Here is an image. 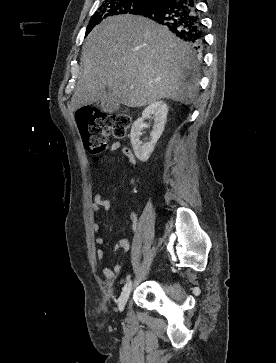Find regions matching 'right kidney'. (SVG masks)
Wrapping results in <instances>:
<instances>
[{"label": "right kidney", "instance_id": "1", "mask_svg": "<svg viewBox=\"0 0 276 363\" xmlns=\"http://www.w3.org/2000/svg\"><path fill=\"white\" fill-rule=\"evenodd\" d=\"M168 113L167 104L163 101H156L148 105L144 111L142 112V116L137 119L131 128L130 138L131 144L135 153V156L142 162H146L151 153L154 150V147L161 137L164 126L166 124ZM150 116L154 117V125L151 134V141L147 143H142L140 140L141 129L143 127V121Z\"/></svg>", "mask_w": 276, "mask_h": 363}]
</instances>
